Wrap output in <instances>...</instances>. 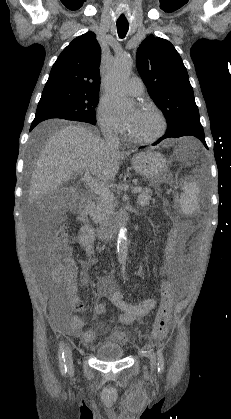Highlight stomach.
<instances>
[{
    "mask_svg": "<svg viewBox=\"0 0 231 419\" xmlns=\"http://www.w3.org/2000/svg\"><path fill=\"white\" fill-rule=\"evenodd\" d=\"M133 168L137 173L157 185L164 181L167 161L159 152L149 150L136 154L132 158Z\"/></svg>",
    "mask_w": 231,
    "mask_h": 419,
    "instance_id": "0dacf381",
    "label": "stomach"
}]
</instances>
